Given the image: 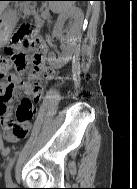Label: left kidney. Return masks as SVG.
Returning <instances> with one entry per match:
<instances>
[{"label":"left kidney","instance_id":"1","mask_svg":"<svg viewBox=\"0 0 137 189\" xmlns=\"http://www.w3.org/2000/svg\"><path fill=\"white\" fill-rule=\"evenodd\" d=\"M69 17L79 19L81 17V13L74 7H70L68 9H66L64 12H62L59 15L57 22L55 24V27H54L53 33L55 35L62 34V27L64 25V22ZM71 56H72L71 51L65 50L63 52V55L61 57H59L58 59H56L54 56L50 55L48 58V61L54 66L61 67L71 59Z\"/></svg>","mask_w":137,"mask_h":189}]
</instances>
